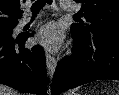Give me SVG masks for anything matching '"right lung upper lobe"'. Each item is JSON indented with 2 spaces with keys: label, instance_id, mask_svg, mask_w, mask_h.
<instances>
[{
  "label": "right lung upper lobe",
  "instance_id": "right-lung-upper-lobe-1",
  "mask_svg": "<svg viewBox=\"0 0 119 95\" xmlns=\"http://www.w3.org/2000/svg\"><path fill=\"white\" fill-rule=\"evenodd\" d=\"M20 2L21 0H0V27L18 24V19L22 17Z\"/></svg>",
  "mask_w": 119,
  "mask_h": 95
}]
</instances>
